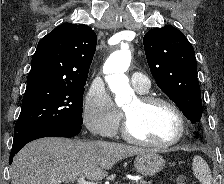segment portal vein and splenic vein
<instances>
[{
	"label": "portal vein and splenic vein",
	"instance_id": "obj_1",
	"mask_svg": "<svg viewBox=\"0 0 224 184\" xmlns=\"http://www.w3.org/2000/svg\"><path fill=\"white\" fill-rule=\"evenodd\" d=\"M77 183L78 184H96L93 182L86 181L83 177L78 178Z\"/></svg>",
	"mask_w": 224,
	"mask_h": 184
}]
</instances>
